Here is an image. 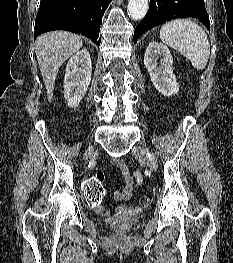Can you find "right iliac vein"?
I'll use <instances>...</instances> for the list:
<instances>
[{
  "mask_svg": "<svg viewBox=\"0 0 233 263\" xmlns=\"http://www.w3.org/2000/svg\"><path fill=\"white\" fill-rule=\"evenodd\" d=\"M96 152H97L96 149H91V150L87 151L85 154V158L87 159L88 157L94 155Z\"/></svg>",
  "mask_w": 233,
  "mask_h": 263,
  "instance_id": "obj_1",
  "label": "right iliac vein"
}]
</instances>
